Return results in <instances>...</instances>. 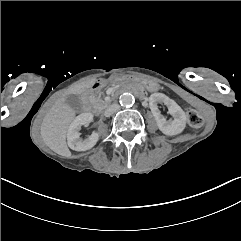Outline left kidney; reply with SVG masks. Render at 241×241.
<instances>
[{"label": "left kidney", "mask_w": 241, "mask_h": 241, "mask_svg": "<svg viewBox=\"0 0 241 241\" xmlns=\"http://www.w3.org/2000/svg\"><path fill=\"white\" fill-rule=\"evenodd\" d=\"M164 103L168 113L173 116V121L168 123L160 114L156 102ZM149 107L155 118L158 129L166 136H177L183 133L186 127V115L182 108L169 97L162 93H154L149 97Z\"/></svg>", "instance_id": "obj_1"}]
</instances>
